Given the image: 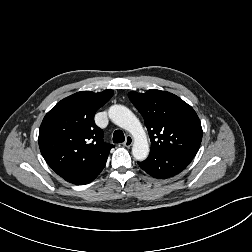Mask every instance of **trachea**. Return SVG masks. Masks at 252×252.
I'll return each instance as SVG.
<instances>
[{
	"label": "trachea",
	"mask_w": 252,
	"mask_h": 252,
	"mask_svg": "<svg viewBox=\"0 0 252 252\" xmlns=\"http://www.w3.org/2000/svg\"><path fill=\"white\" fill-rule=\"evenodd\" d=\"M125 137L121 130H116L113 134V142L114 143H122L124 142Z\"/></svg>",
	"instance_id": "3493384b"
}]
</instances>
